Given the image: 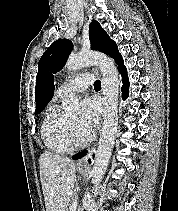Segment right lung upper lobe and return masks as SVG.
<instances>
[{
  "instance_id": "obj_1",
  "label": "right lung upper lobe",
  "mask_w": 178,
  "mask_h": 211,
  "mask_svg": "<svg viewBox=\"0 0 178 211\" xmlns=\"http://www.w3.org/2000/svg\"><path fill=\"white\" fill-rule=\"evenodd\" d=\"M54 93V78L47 74L38 90H36V111H42L49 103Z\"/></svg>"
}]
</instances>
